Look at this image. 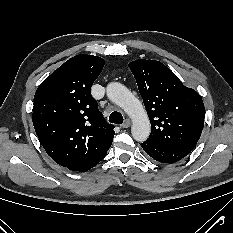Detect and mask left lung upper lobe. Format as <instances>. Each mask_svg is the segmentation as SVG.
Wrapping results in <instances>:
<instances>
[{
    "instance_id": "obj_1",
    "label": "left lung upper lobe",
    "mask_w": 233,
    "mask_h": 233,
    "mask_svg": "<svg viewBox=\"0 0 233 233\" xmlns=\"http://www.w3.org/2000/svg\"><path fill=\"white\" fill-rule=\"evenodd\" d=\"M129 68L151 121L147 140L190 153L204 126L200 95L159 61L135 60Z\"/></svg>"
}]
</instances>
